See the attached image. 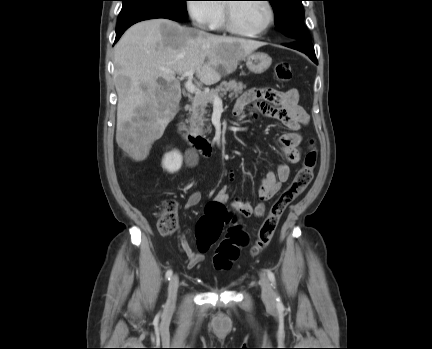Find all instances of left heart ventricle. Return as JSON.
<instances>
[{"instance_id": "obj_1", "label": "left heart ventricle", "mask_w": 432, "mask_h": 349, "mask_svg": "<svg viewBox=\"0 0 432 349\" xmlns=\"http://www.w3.org/2000/svg\"><path fill=\"white\" fill-rule=\"evenodd\" d=\"M233 18L239 29L258 31L266 25L269 11L263 2L233 3Z\"/></svg>"}]
</instances>
